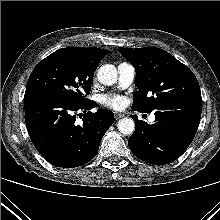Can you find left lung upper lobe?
Listing matches in <instances>:
<instances>
[{
	"label": "left lung upper lobe",
	"instance_id": "left-lung-upper-lobe-1",
	"mask_svg": "<svg viewBox=\"0 0 220 220\" xmlns=\"http://www.w3.org/2000/svg\"><path fill=\"white\" fill-rule=\"evenodd\" d=\"M120 53L136 70L132 109L158 110L162 105L183 99L201 98L193 72L168 52L159 48H120Z\"/></svg>",
	"mask_w": 220,
	"mask_h": 220
}]
</instances>
